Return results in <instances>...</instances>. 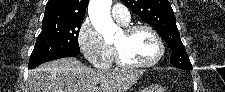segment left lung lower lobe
I'll return each instance as SVG.
<instances>
[{"label":"left lung lower lobe","mask_w":225,"mask_h":92,"mask_svg":"<svg viewBox=\"0 0 225 92\" xmlns=\"http://www.w3.org/2000/svg\"><path fill=\"white\" fill-rule=\"evenodd\" d=\"M181 69H183V70H188V69H191V68H181Z\"/></svg>","instance_id":"1"}]
</instances>
